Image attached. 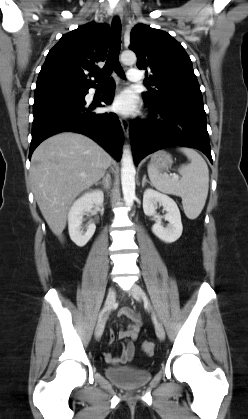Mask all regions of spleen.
<instances>
[{"label":"spleen","mask_w":248,"mask_h":419,"mask_svg":"<svg viewBox=\"0 0 248 419\" xmlns=\"http://www.w3.org/2000/svg\"><path fill=\"white\" fill-rule=\"evenodd\" d=\"M190 160L178 169L180 180L169 177L157 167L149 164L151 184L159 191L182 198L184 213L193 220L203 210L209 189V170L203 157L191 148H179Z\"/></svg>","instance_id":"3e777b00"}]
</instances>
